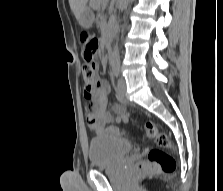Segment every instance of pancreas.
Here are the masks:
<instances>
[{"label": "pancreas", "mask_w": 223, "mask_h": 191, "mask_svg": "<svg viewBox=\"0 0 223 191\" xmlns=\"http://www.w3.org/2000/svg\"><path fill=\"white\" fill-rule=\"evenodd\" d=\"M108 0H91L90 1V6L93 9H100V7L105 6Z\"/></svg>", "instance_id": "cf45deb5"}]
</instances>
